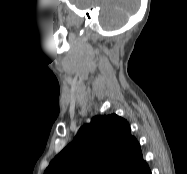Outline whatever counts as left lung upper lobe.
<instances>
[{
	"label": "left lung upper lobe",
	"mask_w": 187,
	"mask_h": 174,
	"mask_svg": "<svg viewBox=\"0 0 187 174\" xmlns=\"http://www.w3.org/2000/svg\"><path fill=\"white\" fill-rule=\"evenodd\" d=\"M146 163L126 120L96 116L49 164L44 174H130Z\"/></svg>",
	"instance_id": "1"
}]
</instances>
